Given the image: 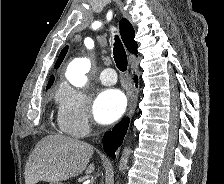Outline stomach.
<instances>
[{"instance_id":"1","label":"stomach","mask_w":224,"mask_h":184,"mask_svg":"<svg viewBox=\"0 0 224 184\" xmlns=\"http://www.w3.org/2000/svg\"><path fill=\"white\" fill-rule=\"evenodd\" d=\"M50 184H63L60 181H56V182H51Z\"/></svg>"}]
</instances>
